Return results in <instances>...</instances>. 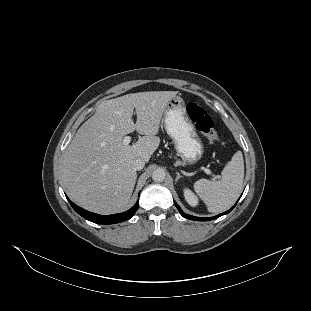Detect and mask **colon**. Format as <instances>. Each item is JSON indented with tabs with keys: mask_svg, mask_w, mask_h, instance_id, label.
Listing matches in <instances>:
<instances>
[{
	"mask_svg": "<svg viewBox=\"0 0 311 311\" xmlns=\"http://www.w3.org/2000/svg\"><path fill=\"white\" fill-rule=\"evenodd\" d=\"M186 110L197 130L201 132L209 142L216 143L219 139L214 128V122L205 108L197 102L190 101L186 104Z\"/></svg>",
	"mask_w": 311,
	"mask_h": 311,
	"instance_id": "obj_1",
	"label": "colon"
}]
</instances>
